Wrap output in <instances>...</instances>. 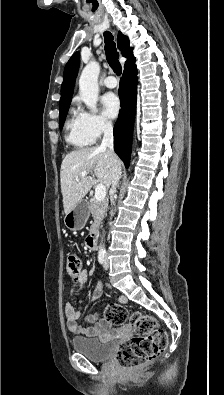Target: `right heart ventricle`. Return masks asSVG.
I'll return each instance as SVG.
<instances>
[{"mask_svg":"<svg viewBox=\"0 0 224 395\" xmlns=\"http://www.w3.org/2000/svg\"><path fill=\"white\" fill-rule=\"evenodd\" d=\"M66 128V140L71 145L78 148H83L91 145L94 142V139L84 129L80 117L77 113H72L67 122Z\"/></svg>","mask_w":224,"mask_h":395,"instance_id":"1","label":"right heart ventricle"}]
</instances>
